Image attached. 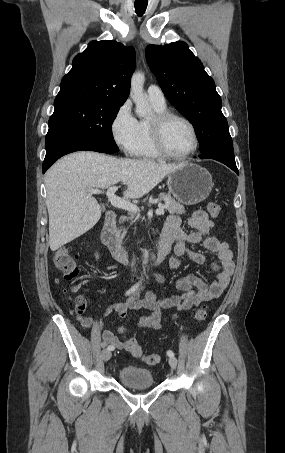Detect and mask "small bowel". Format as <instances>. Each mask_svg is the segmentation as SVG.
<instances>
[{
	"instance_id": "1",
	"label": "small bowel",
	"mask_w": 285,
	"mask_h": 453,
	"mask_svg": "<svg viewBox=\"0 0 285 453\" xmlns=\"http://www.w3.org/2000/svg\"><path fill=\"white\" fill-rule=\"evenodd\" d=\"M188 224L194 229L187 233L181 227V220L176 215H170L165 223L161 237L168 240L171 244L175 243L174 256L170 259L171 269H177L185 260L189 259L197 264L205 262V256L201 252L192 251L188 248L189 244L202 243L210 252L214 253L217 261L212 263V268L217 272L216 279L208 284L195 275H187L177 280L176 287L179 294L165 299H157L152 292H148L145 299L141 300L139 293H134L123 303H116L108 306L104 315L114 313L115 320L123 319L130 309H147L151 311L149 315H140L137 319L138 328L158 329L163 322V313L174 309L176 311H186L204 302L218 298L227 288L234 270L233 254L226 242L211 236L214 229V222L203 210H198L188 220ZM158 283L164 282V277L160 274L152 276ZM84 281L72 286L71 291H78ZM86 301L83 297H78L75 301V313L79 323L85 328L95 327L101 330L100 321L85 316ZM116 333L125 335L128 329L119 325L116 329H106L101 331L103 343L108 344L114 349H121L122 341Z\"/></svg>"
}]
</instances>
